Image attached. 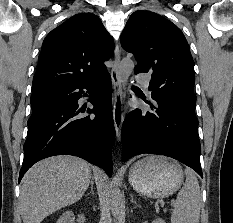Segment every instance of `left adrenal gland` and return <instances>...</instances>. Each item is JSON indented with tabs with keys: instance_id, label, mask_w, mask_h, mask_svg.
<instances>
[{
	"instance_id": "obj_1",
	"label": "left adrenal gland",
	"mask_w": 233,
	"mask_h": 223,
	"mask_svg": "<svg viewBox=\"0 0 233 223\" xmlns=\"http://www.w3.org/2000/svg\"><path fill=\"white\" fill-rule=\"evenodd\" d=\"M130 195H131L130 201H132V203H135V205H137V207H140V205H138L137 201H135V199H133L132 193H130Z\"/></svg>"
}]
</instances>
